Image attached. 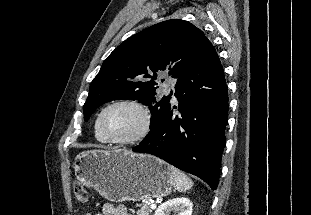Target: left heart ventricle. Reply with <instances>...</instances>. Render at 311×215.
<instances>
[{"label": "left heart ventricle", "instance_id": "left-heart-ventricle-1", "mask_svg": "<svg viewBox=\"0 0 311 215\" xmlns=\"http://www.w3.org/2000/svg\"><path fill=\"white\" fill-rule=\"evenodd\" d=\"M142 123L141 113L128 105L110 108L102 120L104 132L113 138H127L135 135L140 130Z\"/></svg>", "mask_w": 311, "mask_h": 215}]
</instances>
